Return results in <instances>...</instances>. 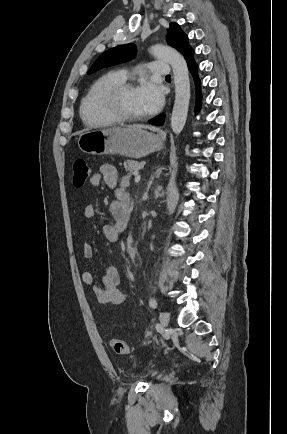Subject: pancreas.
<instances>
[{"label": "pancreas", "instance_id": "1", "mask_svg": "<svg viewBox=\"0 0 287 434\" xmlns=\"http://www.w3.org/2000/svg\"><path fill=\"white\" fill-rule=\"evenodd\" d=\"M144 164L137 161L127 160L124 162V168L128 172V176H131L143 168Z\"/></svg>", "mask_w": 287, "mask_h": 434}]
</instances>
